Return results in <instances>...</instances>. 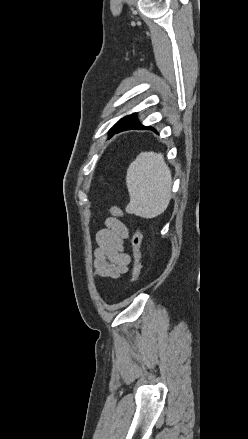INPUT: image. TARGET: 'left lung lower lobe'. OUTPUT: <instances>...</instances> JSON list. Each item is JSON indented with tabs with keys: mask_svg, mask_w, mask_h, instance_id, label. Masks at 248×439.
<instances>
[{
	"mask_svg": "<svg viewBox=\"0 0 248 439\" xmlns=\"http://www.w3.org/2000/svg\"><path fill=\"white\" fill-rule=\"evenodd\" d=\"M136 115L132 114L123 118L117 125H115L110 130V135L112 136L114 133H119L124 130L130 129H152L151 127H145L141 123H139L136 119Z\"/></svg>",
	"mask_w": 248,
	"mask_h": 439,
	"instance_id": "obj_1",
	"label": "left lung lower lobe"
}]
</instances>
